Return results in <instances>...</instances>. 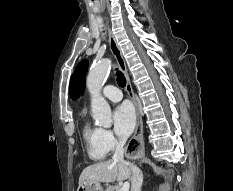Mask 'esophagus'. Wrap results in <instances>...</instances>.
Listing matches in <instances>:
<instances>
[{
  "mask_svg": "<svg viewBox=\"0 0 233 191\" xmlns=\"http://www.w3.org/2000/svg\"><path fill=\"white\" fill-rule=\"evenodd\" d=\"M108 38H109V47L110 50L116 60V63L120 70L123 72L125 78H126V91L131 99L135 110H136V127L133 136L129 140L127 144L126 156H143V149H144V139H143V120L142 116L140 114L139 105L136 100V96L134 94L132 84L130 81V77L128 74L126 62L123 58V55L121 53V50L116 42V39L111 31L110 26L108 25Z\"/></svg>",
  "mask_w": 233,
  "mask_h": 191,
  "instance_id": "esophagus-1",
  "label": "esophagus"
}]
</instances>
